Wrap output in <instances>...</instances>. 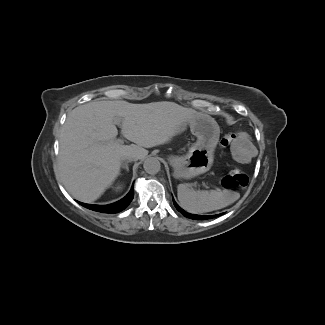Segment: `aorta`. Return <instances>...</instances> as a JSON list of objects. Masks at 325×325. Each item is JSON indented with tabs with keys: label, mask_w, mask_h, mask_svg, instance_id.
<instances>
[{
	"label": "aorta",
	"mask_w": 325,
	"mask_h": 325,
	"mask_svg": "<svg viewBox=\"0 0 325 325\" xmlns=\"http://www.w3.org/2000/svg\"><path fill=\"white\" fill-rule=\"evenodd\" d=\"M143 168L148 174H155L160 169V162L155 157H148L144 160Z\"/></svg>",
	"instance_id": "762f6f07"
}]
</instances>
